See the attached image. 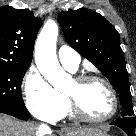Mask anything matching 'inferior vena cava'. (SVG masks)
Returning <instances> with one entry per match:
<instances>
[{
	"instance_id": "obj_1",
	"label": "inferior vena cava",
	"mask_w": 136,
	"mask_h": 136,
	"mask_svg": "<svg viewBox=\"0 0 136 136\" xmlns=\"http://www.w3.org/2000/svg\"><path fill=\"white\" fill-rule=\"evenodd\" d=\"M41 128L45 130V129H47L48 127H47L46 125H41Z\"/></svg>"
}]
</instances>
